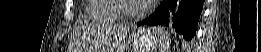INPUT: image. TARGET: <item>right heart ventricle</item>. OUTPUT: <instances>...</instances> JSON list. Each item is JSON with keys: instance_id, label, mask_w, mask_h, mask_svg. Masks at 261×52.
Here are the masks:
<instances>
[{"instance_id": "obj_1", "label": "right heart ventricle", "mask_w": 261, "mask_h": 52, "mask_svg": "<svg viewBox=\"0 0 261 52\" xmlns=\"http://www.w3.org/2000/svg\"><path fill=\"white\" fill-rule=\"evenodd\" d=\"M115 0H89L86 7V17L92 23L116 24L121 22L115 14Z\"/></svg>"}]
</instances>
